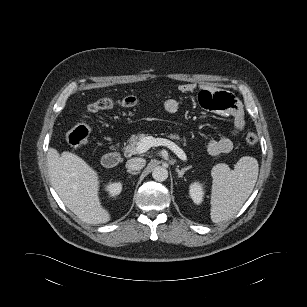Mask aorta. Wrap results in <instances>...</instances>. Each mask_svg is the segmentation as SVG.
<instances>
[{
    "mask_svg": "<svg viewBox=\"0 0 307 307\" xmlns=\"http://www.w3.org/2000/svg\"><path fill=\"white\" fill-rule=\"evenodd\" d=\"M152 177L159 182L165 181L168 178V171L162 166H156L152 171Z\"/></svg>",
    "mask_w": 307,
    "mask_h": 307,
    "instance_id": "1",
    "label": "aorta"
}]
</instances>
